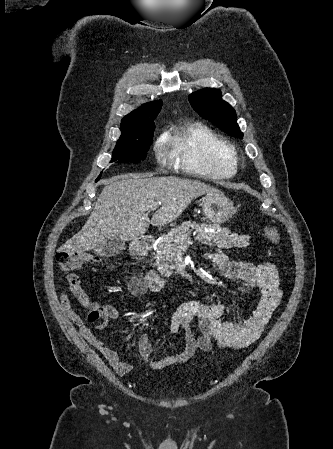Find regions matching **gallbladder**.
<instances>
[{"label":"gallbladder","instance_id":"bac80fb5","mask_svg":"<svg viewBox=\"0 0 333 449\" xmlns=\"http://www.w3.org/2000/svg\"><path fill=\"white\" fill-rule=\"evenodd\" d=\"M124 249L125 241L116 236L107 239L104 243L97 246L94 252L100 257H109L120 254Z\"/></svg>","mask_w":333,"mask_h":449}]
</instances>
